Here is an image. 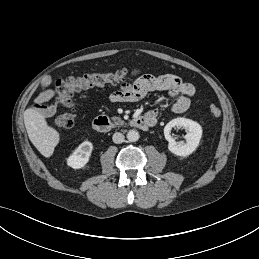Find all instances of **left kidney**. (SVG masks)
Wrapping results in <instances>:
<instances>
[{
  "mask_svg": "<svg viewBox=\"0 0 259 259\" xmlns=\"http://www.w3.org/2000/svg\"><path fill=\"white\" fill-rule=\"evenodd\" d=\"M183 127L187 134L185 135L186 142H176L171 136L172 128ZM165 139L169 142L168 149L176 156L186 157L192 154L199 146L202 137V127L197 122L187 118H175L171 120L164 128Z\"/></svg>",
  "mask_w": 259,
  "mask_h": 259,
  "instance_id": "obj_1",
  "label": "left kidney"
}]
</instances>
